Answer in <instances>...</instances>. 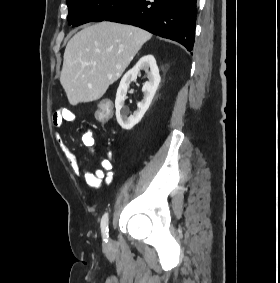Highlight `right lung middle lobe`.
Wrapping results in <instances>:
<instances>
[{"label":"right lung middle lobe","instance_id":"1","mask_svg":"<svg viewBox=\"0 0 280 283\" xmlns=\"http://www.w3.org/2000/svg\"><path fill=\"white\" fill-rule=\"evenodd\" d=\"M132 0H67L68 23L79 26L103 21Z\"/></svg>","mask_w":280,"mask_h":283}]
</instances>
